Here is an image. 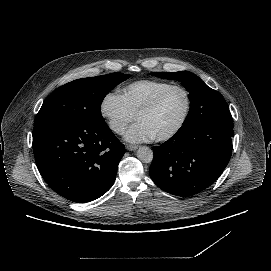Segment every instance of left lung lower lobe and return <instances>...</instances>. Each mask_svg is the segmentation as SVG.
I'll return each mask as SVG.
<instances>
[{
  "mask_svg": "<svg viewBox=\"0 0 271 271\" xmlns=\"http://www.w3.org/2000/svg\"><path fill=\"white\" fill-rule=\"evenodd\" d=\"M233 119L195 123L153 147L149 174L162 190L180 197L195 195L222 174L232 154Z\"/></svg>",
  "mask_w": 271,
  "mask_h": 271,
  "instance_id": "left-lung-lower-lobe-1",
  "label": "left lung lower lobe"
}]
</instances>
